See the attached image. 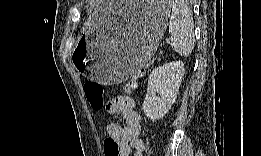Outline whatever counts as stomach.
Instances as JSON below:
<instances>
[{"mask_svg": "<svg viewBox=\"0 0 261 156\" xmlns=\"http://www.w3.org/2000/svg\"><path fill=\"white\" fill-rule=\"evenodd\" d=\"M121 4L103 5L116 9ZM131 8V13L119 18L102 10L92 16L73 56L87 78L101 84L123 82L155 54L170 17L168 4L140 1Z\"/></svg>", "mask_w": 261, "mask_h": 156, "instance_id": "stomach-1", "label": "stomach"}]
</instances>
